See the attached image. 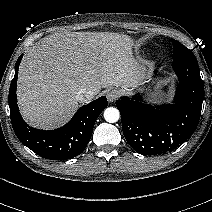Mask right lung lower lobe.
I'll return each mask as SVG.
<instances>
[{"label": "right lung lower lobe", "mask_w": 212, "mask_h": 212, "mask_svg": "<svg viewBox=\"0 0 212 212\" xmlns=\"http://www.w3.org/2000/svg\"><path fill=\"white\" fill-rule=\"evenodd\" d=\"M23 54L15 65V75L9 88L10 117L18 139L37 155L50 160H67L83 152L93 131L96 119L107 107L106 97L82 106L63 127L52 131L35 129L26 124L19 113L16 87L18 68Z\"/></svg>", "instance_id": "1"}]
</instances>
